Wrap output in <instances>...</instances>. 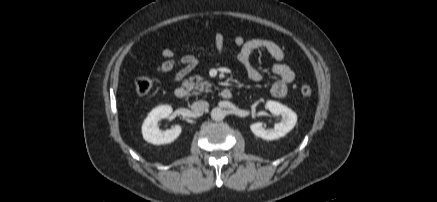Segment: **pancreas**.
Listing matches in <instances>:
<instances>
[{"label":"pancreas","mask_w":437,"mask_h":202,"mask_svg":"<svg viewBox=\"0 0 437 202\" xmlns=\"http://www.w3.org/2000/svg\"><path fill=\"white\" fill-rule=\"evenodd\" d=\"M184 86L189 89H195L198 90L199 92H203V91H209L210 87H211V83L208 81H205L202 77L200 76H193L190 77L189 80H185L184 81ZM199 92H193V94L197 95L199 94Z\"/></svg>","instance_id":"1"}]
</instances>
